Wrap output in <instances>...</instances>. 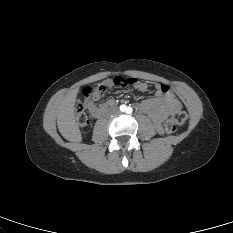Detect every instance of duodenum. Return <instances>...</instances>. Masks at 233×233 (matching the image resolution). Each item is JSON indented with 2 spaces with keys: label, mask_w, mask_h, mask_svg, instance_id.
<instances>
[{
  "label": "duodenum",
  "mask_w": 233,
  "mask_h": 233,
  "mask_svg": "<svg viewBox=\"0 0 233 233\" xmlns=\"http://www.w3.org/2000/svg\"><path fill=\"white\" fill-rule=\"evenodd\" d=\"M112 106H113L112 103H107V104L103 105L102 107H100L99 109H97L95 111L94 115L96 117H99V116L103 115Z\"/></svg>",
  "instance_id": "obj_1"
}]
</instances>
